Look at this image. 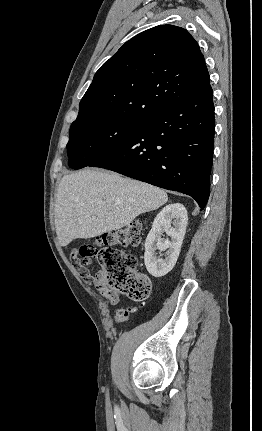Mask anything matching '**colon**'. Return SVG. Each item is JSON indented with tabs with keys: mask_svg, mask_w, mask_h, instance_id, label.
I'll return each mask as SVG.
<instances>
[{
	"mask_svg": "<svg viewBox=\"0 0 262 431\" xmlns=\"http://www.w3.org/2000/svg\"><path fill=\"white\" fill-rule=\"evenodd\" d=\"M142 224L131 223L117 231L104 234L95 244L82 246L71 252L76 271L81 275H90L88 263L95 260L100 266L98 280L112 290L126 294L133 301H146L151 291L149 278L137 270L135 256L120 251L116 246H134L140 241ZM127 317V311L117 315L118 321Z\"/></svg>",
	"mask_w": 262,
	"mask_h": 431,
	"instance_id": "colon-1",
	"label": "colon"
}]
</instances>
